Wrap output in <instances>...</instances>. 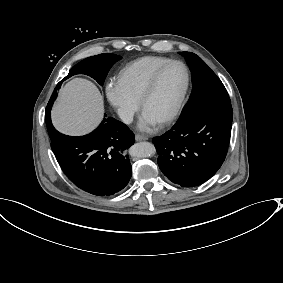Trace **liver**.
<instances>
[{
    "label": "liver",
    "mask_w": 283,
    "mask_h": 283,
    "mask_svg": "<svg viewBox=\"0 0 283 283\" xmlns=\"http://www.w3.org/2000/svg\"><path fill=\"white\" fill-rule=\"evenodd\" d=\"M103 113V96L94 83L84 78H74L60 89L51 112L55 128L71 136L91 132Z\"/></svg>",
    "instance_id": "1"
}]
</instances>
